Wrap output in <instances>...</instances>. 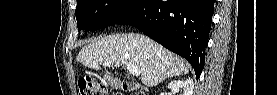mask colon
Masks as SVG:
<instances>
[{"mask_svg": "<svg viewBox=\"0 0 277 95\" xmlns=\"http://www.w3.org/2000/svg\"><path fill=\"white\" fill-rule=\"evenodd\" d=\"M106 90V85L93 82L89 77H82L79 81L80 94L104 95Z\"/></svg>", "mask_w": 277, "mask_h": 95, "instance_id": "obj_1", "label": "colon"}]
</instances>
